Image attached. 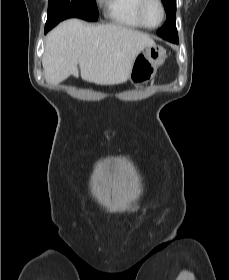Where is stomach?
<instances>
[{
	"instance_id": "stomach-1",
	"label": "stomach",
	"mask_w": 229,
	"mask_h": 280,
	"mask_svg": "<svg viewBox=\"0 0 229 280\" xmlns=\"http://www.w3.org/2000/svg\"><path fill=\"white\" fill-rule=\"evenodd\" d=\"M165 59L166 50L162 47H146L144 52L135 58L129 72V80L132 83H144L153 79Z\"/></svg>"
}]
</instances>
